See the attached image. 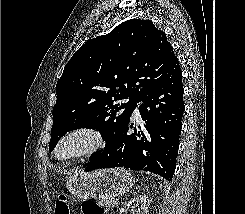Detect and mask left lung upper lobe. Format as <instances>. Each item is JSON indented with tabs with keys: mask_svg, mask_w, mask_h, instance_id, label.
Masks as SVG:
<instances>
[{
	"mask_svg": "<svg viewBox=\"0 0 245 214\" xmlns=\"http://www.w3.org/2000/svg\"><path fill=\"white\" fill-rule=\"evenodd\" d=\"M178 64L165 33L150 20L125 21L85 42L57 81L49 151L78 128H96L106 140L105 148L110 146L136 102Z\"/></svg>",
	"mask_w": 245,
	"mask_h": 214,
	"instance_id": "5c2ea615",
	"label": "left lung upper lobe"
}]
</instances>
